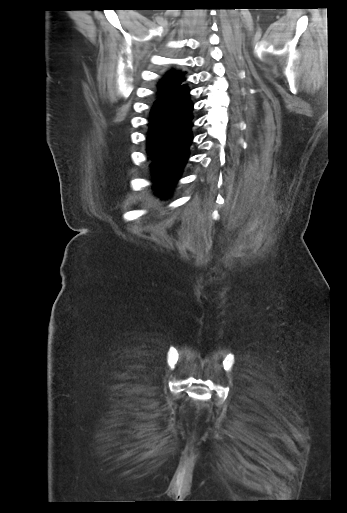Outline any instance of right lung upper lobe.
<instances>
[{
  "instance_id": "right-lung-upper-lobe-1",
  "label": "right lung upper lobe",
  "mask_w": 347,
  "mask_h": 513,
  "mask_svg": "<svg viewBox=\"0 0 347 513\" xmlns=\"http://www.w3.org/2000/svg\"><path fill=\"white\" fill-rule=\"evenodd\" d=\"M184 81V75L181 72L170 71L159 81L158 95H166L180 86Z\"/></svg>"
}]
</instances>
